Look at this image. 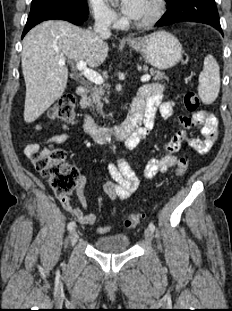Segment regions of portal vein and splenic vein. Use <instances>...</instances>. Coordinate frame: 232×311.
<instances>
[{
    "label": "portal vein and splenic vein",
    "instance_id": "1",
    "mask_svg": "<svg viewBox=\"0 0 232 311\" xmlns=\"http://www.w3.org/2000/svg\"><path fill=\"white\" fill-rule=\"evenodd\" d=\"M58 63L59 65H65V60L60 59ZM77 69L83 73L84 77H86L89 81L93 82L94 84L96 85L103 84L104 80L102 76L99 73L93 71L92 69H89L85 61H78ZM150 79L151 76L149 74L143 75L141 77L142 82H148Z\"/></svg>",
    "mask_w": 232,
    "mask_h": 311
}]
</instances>
